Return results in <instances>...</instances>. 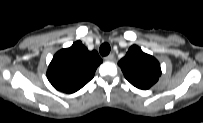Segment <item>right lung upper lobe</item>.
I'll list each match as a JSON object with an SVG mask.
<instances>
[{
	"mask_svg": "<svg viewBox=\"0 0 203 123\" xmlns=\"http://www.w3.org/2000/svg\"><path fill=\"white\" fill-rule=\"evenodd\" d=\"M101 63L102 59L96 51H88L80 41H76L54 55L47 77L57 90L74 93L93 78Z\"/></svg>",
	"mask_w": 203,
	"mask_h": 123,
	"instance_id": "cb5924a9",
	"label": "right lung upper lobe"
}]
</instances>
